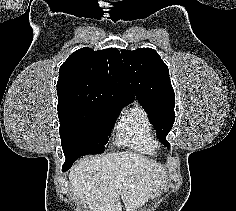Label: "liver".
<instances>
[{"mask_svg": "<svg viewBox=\"0 0 236 211\" xmlns=\"http://www.w3.org/2000/svg\"><path fill=\"white\" fill-rule=\"evenodd\" d=\"M166 171L131 152L86 158L69 173L72 193L90 211H136L162 189Z\"/></svg>", "mask_w": 236, "mask_h": 211, "instance_id": "6515ba94", "label": "liver"}]
</instances>
